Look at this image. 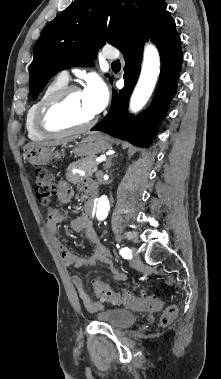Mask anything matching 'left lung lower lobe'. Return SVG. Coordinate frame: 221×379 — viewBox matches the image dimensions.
I'll return each instance as SVG.
<instances>
[{"label":"left lung lower lobe","mask_w":221,"mask_h":379,"mask_svg":"<svg viewBox=\"0 0 221 379\" xmlns=\"http://www.w3.org/2000/svg\"><path fill=\"white\" fill-rule=\"evenodd\" d=\"M148 39L159 50L161 71L153 102L135 117L127 111L128 102L140 73L143 46ZM119 50L126 60L125 86L119 93L113 90L109 112L91 131L99 130L136 146L148 147L168 111V101L175 94L183 56L175 21L166 10L164 0L157 5L142 29L128 37Z\"/></svg>","instance_id":"1"}]
</instances>
